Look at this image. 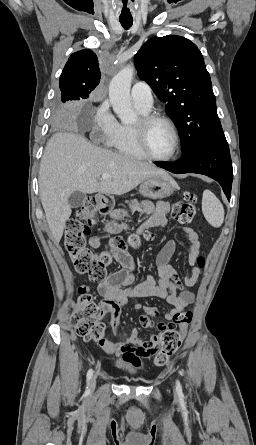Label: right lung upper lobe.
Returning a JSON list of instances; mask_svg holds the SVG:
<instances>
[{
  "mask_svg": "<svg viewBox=\"0 0 256 445\" xmlns=\"http://www.w3.org/2000/svg\"><path fill=\"white\" fill-rule=\"evenodd\" d=\"M100 70L96 54L89 50L73 53L60 76L61 94H67L75 99H86L89 93L100 82Z\"/></svg>",
  "mask_w": 256,
  "mask_h": 445,
  "instance_id": "obj_1",
  "label": "right lung upper lobe"
}]
</instances>
